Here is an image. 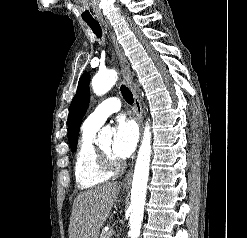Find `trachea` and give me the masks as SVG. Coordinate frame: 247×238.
<instances>
[{
  "label": "trachea",
  "instance_id": "trachea-1",
  "mask_svg": "<svg viewBox=\"0 0 247 238\" xmlns=\"http://www.w3.org/2000/svg\"><path fill=\"white\" fill-rule=\"evenodd\" d=\"M89 27L92 29L93 33L101 38L102 36V29L97 21H86ZM120 91L122 93L123 98L128 104H133V95L132 92L125 86L121 85Z\"/></svg>",
  "mask_w": 247,
  "mask_h": 238
}]
</instances>
